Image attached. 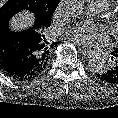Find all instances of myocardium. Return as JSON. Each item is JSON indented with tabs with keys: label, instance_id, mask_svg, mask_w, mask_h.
<instances>
[{
	"label": "myocardium",
	"instance_id": "1",
	"mask_svg": "<svg viewBox=\"0 0 118 118\" xmlns=\"http://www.w3.org/2000/svg\"><path fill=\"white\" fill-rule=\"evenodd\" d=\"M110 27L114 37L118 39V16L112 17L110 21Z\"/></svg>",
	"mask_w": 118,
	"mask_h": 118
}]
</instances>
